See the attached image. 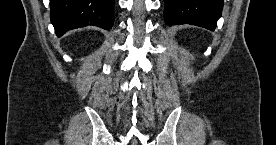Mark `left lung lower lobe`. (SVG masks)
Segmentation results:
<instances>
[{
  "mask_svg": "<svg viewBox=\"0 0 276 145\" xmlns=\"http://www.w3.org/2000/svg\"><path fill=\"white\" fill-rule=\"evenodd\" d=\"M223 0H165L167 25L193 24L214 30L221 16Z\"/></svg>",
  "mask_w": 276,
  "mask_h": 145,
  "instance_id": "left-lung-lower-lobe-1",
  "label": "left lung lower lobe"
}]
</instances>
